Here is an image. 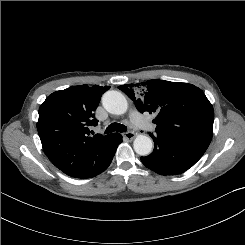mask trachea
<instances>
[{
	"label": "trachea",
	"mask_w": 245,
	"mask_h": 245,
	"mask_svg": "<svg viewBox=\"0 0 245 245\" xmlns=\"http://www.w3.org/2000/svg\"><path fill=\"white\" fill-rule=\"evenodd\" d=\"M126 132L127 131V127L124 126L123 124H119V123H112L110 124L106 130H105V134H108V133H112V132Z\"/></svg>",
	"instance_id": "1"
}]
</instances>
